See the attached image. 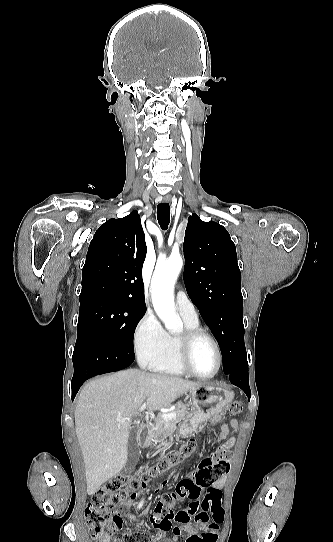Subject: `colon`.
<instances>
[{
  "instance_id": "5ec220e1",
  "label": "colon",
  "mask_w": 333,
  "mask_h": 542,
  "mask_svg": "<svg viewBox=\"0 0 333 542\" xmlns=\"http://www.w3.org/2000/svg\"><path fill=\"white\" fill-rule=\"evenodd\" d=\"M228 410L230 415L237 416L242 410L240 402H232ZM197 448V441L189 439L183 443L180 450L173 451L166 459L147 466L140 476L131 477L128 472H124L107 480L93 494L85 510L86 522L92 538L96 540L115 539L116 528H120L123 521L122 516L126 515L124 503L134 497L138 489L153 477L170 471L183 459L194 455ZM229 469L230 465L226 460L202 461L194 472L195 480L183 479L175 489L182 500L198 501L202 498L200 505H188L186 510L177 509L173 512L166 501L159 500L150 516L148 529L162 532L173 529L174 532L179 533L178 526L173 527L174 520L176 519L179 526H185L189 523V518H192L194 524L207 525V529L200 538L196 536L191 540L211 542L209 534L217 533L224 519V508L221 504L223 497L212 482L226 474ZM175 492L170 490L167 496L173 499L176 496ZM122 529L124 530L123 542H157L159 539L152 537V535L146 536L144 531L133 532L127 524H124Z\"/></svg>"
}]
</instances>
